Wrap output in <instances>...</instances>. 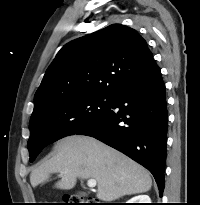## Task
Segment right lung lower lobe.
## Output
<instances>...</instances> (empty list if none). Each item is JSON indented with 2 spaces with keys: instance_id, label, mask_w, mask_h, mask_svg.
I'll use <instances>...</instances> for the list:
<instances>
[{
  "instance_id": "98d812e1",
  "label": "right lung lower lobe",
  "mask_w": 200,
  "mask_h": 205,
  "mask_svg": "<svg viewBox=\"0 0 200 205\" xmlns=\"http://www.w3.org/2000/svg\"><path fill=\"white\" fill-rule=\"evenodd\" d=\"M116 107L119 111H114ZM167 102L160 68L147 71L112 95L108 112L77 134L94 137L147 168L162 196L167 145Z\"/></svg>"
}]
</instances>
